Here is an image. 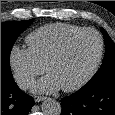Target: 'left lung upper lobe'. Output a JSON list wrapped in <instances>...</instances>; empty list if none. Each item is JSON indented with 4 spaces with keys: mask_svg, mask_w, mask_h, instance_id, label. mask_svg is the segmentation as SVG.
Segmentation results:
<instances>
[{
    "mask_svg": "<svg viewBox=\"0 0 115 115\" xmlns=\"http://www.w3.org/2000/svg\"><path fill=\"white\" fill-rule=\"evenodd\" d=\"M101 31L105 42L104 60L100 69L82 88H88L103 82L115 80V44L103 28H101Z\"/></svg>",
    "mask_w": 115,
    "mask_h": 115,
    "instance_id": "obj_1",
    "label": "left lung upper lobe"
}]
</instances>
